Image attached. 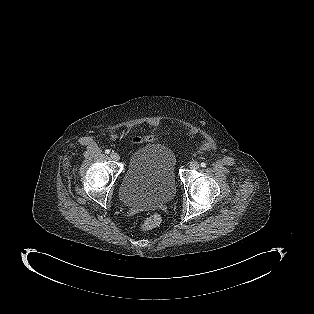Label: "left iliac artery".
Listing matches in <instances>:
<instances>
[{
  "label": "left iliac artery",
  "instance_id": "44dca946",
  "mask_svg": "<svg viewBox=\"0 0 314 314\" xmlns=\"http://www.w3.org/2000/svg\"><path fill=\"white\" fill-rule=\"evenodd\" d=\"M201 167H206V163H205V162H202V163H201Z\"/></svg>",
  "mask_w": 314,
  "mask_h": 314
}]
</instances>
